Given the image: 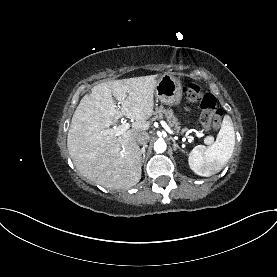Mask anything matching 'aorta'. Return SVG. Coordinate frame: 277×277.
<instances>
[{"mask_svg":"<svg viewBox=\"0 0 277 277\" xmlns=\"http://www.w3.org/2000/svg\"><path fill=\"white\" fill-rule=\"evenodd\" d=\"M166 147L167 145L164 140H157L154 143V150L157 153H163L166 150Z\"/></svg>","mask_w":277,"mask_h":277,"instance_id":"aorta-1","label":"aorta"}]
</instances>
